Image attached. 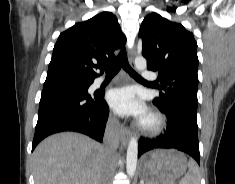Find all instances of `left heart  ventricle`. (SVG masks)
Instances as JSON below:
<instances>
[{"label":"left heart ventricle","mask_w":235,"mask_h":184,"mask_svg":"<svg viewBox=\"0 0 235 184\" xmlns=\"http://www.w3.org/2000/svg\"><path fill=\"white\" fill-rule=\"evenodd\" d=\"M144 124H149L150 123V117L148 115L145 116V118L142 120Z\"/></svg>","instance_id":"obj_1"}]
</instances>
